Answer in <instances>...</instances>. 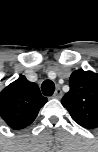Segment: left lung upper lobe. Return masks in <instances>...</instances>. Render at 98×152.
Instances as JSON below:
<instances>
[{
  "instance_id": "5c2ea615",
  "label": "left lung upper lobe",
  "mask_w": 98,
  "mask_h": 152,
  "mask_svg": "<svg viewBox=\"0 0 98 152\" xmlns=\"http://www.w3.org/2000/svg\"><path fill=\"white\" fill-rule=\"evenodd\" d=\"M69 86L61 100L63 106L80 126L98 128V74L76 70L70 76Z\"/></svg>"
}]
</instances>
